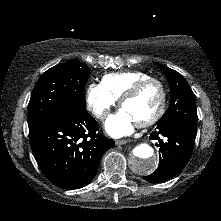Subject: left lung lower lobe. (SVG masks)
I'll return each instance as SVG.
<instances>
[{"label":"left lung lower lobe","mask_w":221,"mask_h":221,"mask_svg":"<svg viewBox=\"0 0 221 221\" xmlns=\"http://www.w3.org/2000/svg\"><path fill=\"white\" fill-rule=\"evenodd\" d=\"M195 136L180 125L158 124L150 139L159 141V166L154 173L143 178L161 183L181 172L191 157Z\"/></svg>","instance_id":"obj_1"}]
</instances>
